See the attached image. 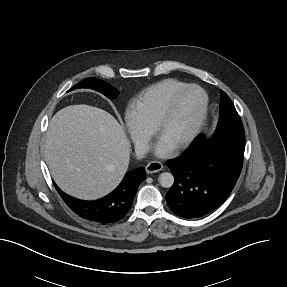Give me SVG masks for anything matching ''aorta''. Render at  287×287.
Returning <instances> with one entry per match:
<instances>
[{"label":"aorta","instance_id":"762f6f07","mask_svg":"<svg viewBox=\"0 0 287 287\" xmlns=\"http://www.w3.org/2000/svg\"><path fill=\"white\" fill-rule=\"evenodd\" d=\"M159 184L164 188H170L174 183V177L171 173L163 172L158 178Z\"/></svg>","mask_w":287,"mask_h":287}]
</instances>
